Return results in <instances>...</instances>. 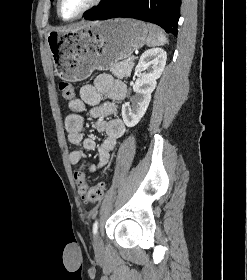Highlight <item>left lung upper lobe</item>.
<instances>
[{"mask_svg": "<svg viewBox=\"0 0 247 280\" xmlns=\"http://www.w3.org/2000/svg\"><path fill=\"white\" fill-rule=\"evenodd\" d=\"M53 1V0H51ZM109 0H103V2L101 4H105L106 2H108Z\"/></svg>", "mask_w": 247, "mask_h": 280, "instance_id": "obj_1", "label": "left lung upper lobe"}]
</instances>
